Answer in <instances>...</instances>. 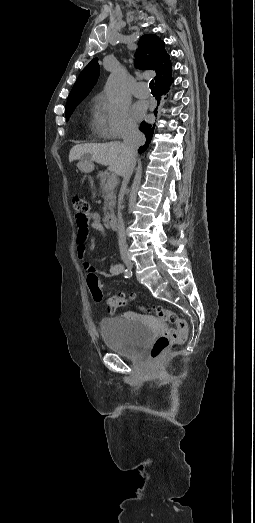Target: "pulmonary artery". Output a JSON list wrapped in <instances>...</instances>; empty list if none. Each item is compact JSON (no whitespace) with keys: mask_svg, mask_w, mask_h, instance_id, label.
I'll return each instance as SVG.
<instances>
[{"mask_svg":"<svg viewBox=\"0 0 255 523\" xmlns=\"http://www.w3.org/2000/svg\"><path fill=\"white\" fill-rule=\"evenodd\" d=\"M133 95L139 98H146L150 95L149 85L145 82H138L132 90Z\"/></svg>","mask_w":255,"mask_h":523,"instance_id":"1","label":"pulmonary artery"}]
</instances>
